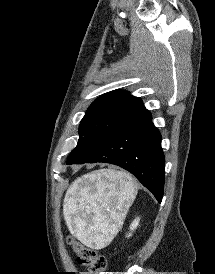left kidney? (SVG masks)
Listing matches in <instances>:
<instances>
[{"instance_id":"left-kidney-1","label":"left kidney","mask_w":215,"mask_h":274,"mask_svg":"<svg viewBox=\"0 0 215 274\" xmlns=\"http://www.w3.org/2000/svg\"><path fill=\"white\" fill-rule=\"evenodd\" d=\"M139 221H140V218L137 217V218L131 223V225H130V230H131V231H134V230L138 227ZM130 236H132L131 233L127 234V237H128V238H129Z\"/></svg>"}]
</instances>
